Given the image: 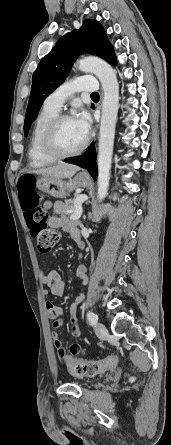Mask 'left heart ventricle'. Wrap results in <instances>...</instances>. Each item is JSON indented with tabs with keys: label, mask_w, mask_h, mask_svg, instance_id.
<instances>
[{
	"label": "left heart ventricle",
	"mask_w": 171,
	"mask_h": 445,
	"mask_svg": "<svg viewBox=\"0 0 171 445\" xmlns=\"http://www.w3.org/2000/svg\"><path fill=\"white\" fill-rule=\"evenodd\" d=\"M86 135L82 132L76 119L64 121L58 128L55 142L59 149L71 151L78 148L85 140Z\"/></svg>",
	"instance_id": "b2bd125f"
}]
</instances>
